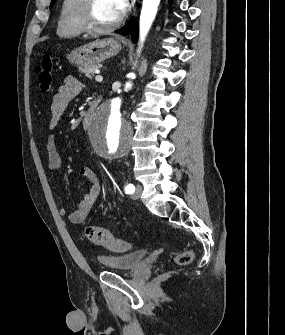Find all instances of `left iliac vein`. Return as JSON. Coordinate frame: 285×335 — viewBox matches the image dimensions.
Masks as SVG:
<instances>
[{
    "label": "left iliac vein",
    "instance_id": "1",
    "mask_svg": "<svg viewBox=\"0 0 285 335\" xmlns=\"http://www.w3.org/2000/svg\"><path fill=\"white\" fill-rule=\"evenodd\" d=\"M142 191H143L142 186H141L140 184H138V185L136 186V189H135L134 194L132 195V198H133L134 200L138 199L139 196L141 195Z\"/></svg>",
    "mask_w": 285,
    "mask_h": 335
}]
</instances>
